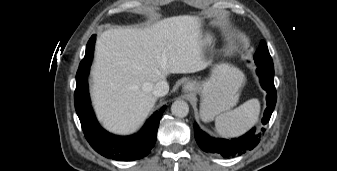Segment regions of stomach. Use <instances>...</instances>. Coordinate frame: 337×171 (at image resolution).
Returning <instances> with one entry per match:
<instances>
[{
	"mask_svg": "<svg viewBox=\"0 0 337 171\" xmlns=\"http://www.w3.org/2000/svg\"><path fill=\"white\" fill-rule=\"evenodd\" d=\"M245 82L244 74L228 64L217 65L210 79L193 82L194 91L201 94L200 117L211 121L216 115L234 107Z\"/></svg>",
	"mask_w": 337,
	"mask_h": 171,
	"instance_id": "1",
	"label": "stomach"
}]
</instances>
